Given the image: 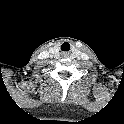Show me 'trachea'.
Returning <instances> with one entry per match:
<instances>
[{
    "mask_svg": "<svg viewBox=\"0 0 124 124\" xmlns=\"http://www.w3.org/2000/svg\"><path fill=\"white\" fill-rule=\"evenodd\" d=\"M65 44H66L67 46H69V47H70V45H69L68 43H64L63 45H65ZM63 45H62V46H63Z\"/></svg>",
    "mask_w": 124,
    "mask_h": 124,
    "instance_id": "1",
    "label": "trachea"
}]
</instances>
